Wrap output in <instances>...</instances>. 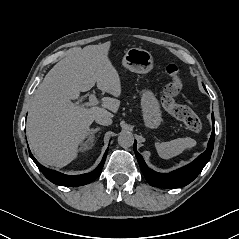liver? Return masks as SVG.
Returning a JSON list of instances; mask_svg holds the SVG:
<instances>
[{
	"mask_svg": "<svg viewBox=\"0 0 239 239\" xmlns=\"http://www.w3.org/2000/svg\"><path fill=\"white\" fill-rule=\"evenodd\" d=\"M110 45L73 48L38 86L29 110L27 136L41 163L60 168L68 165L77 157L96 114L118 111L120 101L110 97L102 98L100 107H79L72 102L95 83L101 91L120 96V77L108 57Z\"/></svg>",
	"mask_w": 239,
	"mask_h": 239,
	"instance_id": "1",
	"label": "liver"
}]
</instances>
